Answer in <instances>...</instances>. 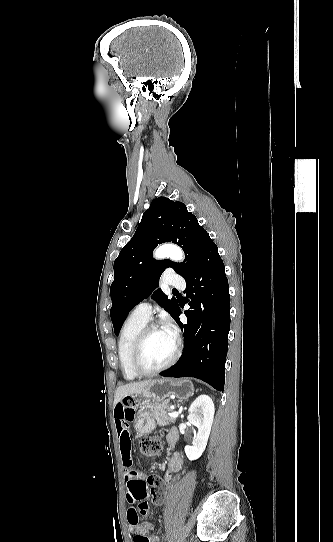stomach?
<instances>
[{
  "instance_id": "stomach-1",
  "label": "stomach",
  "mask_w": 333,
  "mask_h": 542,
  "mask_svg": "<svg viewBox=\"0 0 333 542\" xmlns=\"http://www.w3.org/2000/svg\"><path fill=\"white\" fill-rule=\"evenodd\" d=\"M194 394V386L191 380H173V378H163V380H151L149 386H146L144 390L138 392V394H132L130 397H120L119 400H133L139 406H142L143 410L147 402H164L165 398L169 396H175L179 400H187ZM136 432L134 438L136 440H143L148 436L150 430H154L155 422L153 414L146 412L145 416L139 414L134 422Z\"/></svg>"
}]
</instances>
